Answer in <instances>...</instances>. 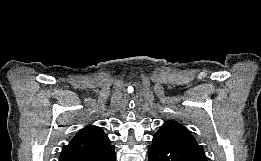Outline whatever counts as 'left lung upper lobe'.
Returning <instances> with one entry per match:
<instances>
[{"label": "left lung upper lobe", "mask_w": 261, "mask_h": 161, "mask_svg": "<svg viewBox=\"0 0 261 161\" xmlns=\"http://www.w3.org/2000/svg\"><path fill=\"white\" fill-rule=\"evenodd\" d=\"M157 133L169 134L186 142L196 143L195 139L185 127L173 121H166Z\"/></svg>", "instance_id": "left-lung-upper-lobe-1"}]
</instances>
